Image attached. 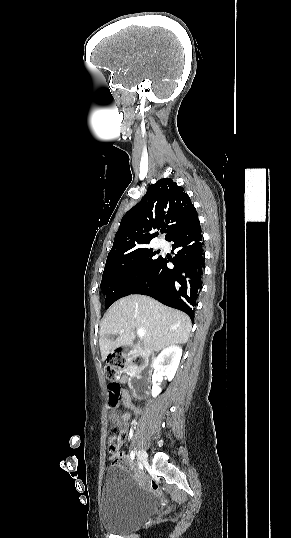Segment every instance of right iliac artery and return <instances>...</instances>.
<instances>
[{
  "label": "right iliac artery",
  "mask_w": 291,
  "mask_h": 538,
  "mask_svg": "<svg viewBox=\"0 0 291 538\" xmlns=\"http://www.w3.org/2000/svg\"><path fill=\"white\" fill-rule=\"evenodd\" d=\"M130 458L133 460L135 458V452L134 451H131L130 453Z\"/></svg>",
  "instance_id": "obj_1"
}]
</instances>
